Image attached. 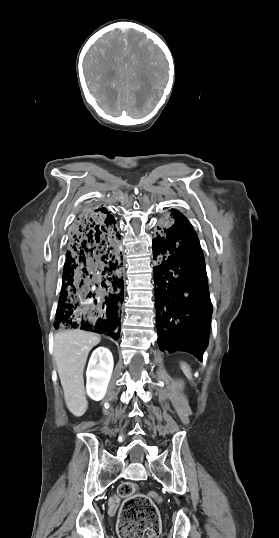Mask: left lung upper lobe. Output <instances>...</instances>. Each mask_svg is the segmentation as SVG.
Wrapping results in <instances>:
<instances>
[{
  "mask_svg": "<svg viewBox=\"0 0 279 538\" xmlns=\"http://www.w3.org/2000/svg\"><path fill=\"white\" fill-rule=\"evenodd\" d=\"M174 214L172 215V218H176V217H184L179 211H176L174 210Z\"/></svg>",
  "mask_w": 279,
  "mask_h": 538,
  "instance_id": "obj_1",
  "label": "left lung upper lobe"
}]
</instances>
